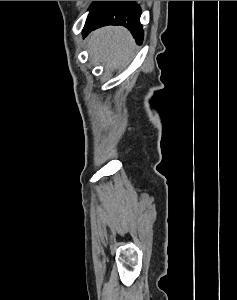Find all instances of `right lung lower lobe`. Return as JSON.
<instances>
[{"label": "right lung lower lobe", "mask_w": 237, "mask_h": 300, "mask_svg": "<svg viewBox=\"0 0 237 300\" xmlns=\"http://www.w3.org/2000/svg\"><path fill=\"white\" fill-rule=\"evenodd\" d=\"M141 9L134 1H116V3L96 22L84 27L87 36L92 30L106 25H122L128 28L137 43L143 40V29L140 24Z\"/></svg>", "instance_id": "obj_1"}]
</instances>
